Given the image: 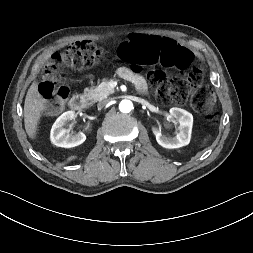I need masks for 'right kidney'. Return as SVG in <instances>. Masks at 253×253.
Segmentation results:
<instances>
[{"label": "right kidney", "mask_w": 253, "mask_h": 253, "mask_svg": "<svg viewBox=\"0 0 253 253\" xmlns=\"http://www.w3.org/2000/svg\"><path fill=\"white\" fill-rule=\"evenodd\" d=\"M75 118L76 114L74 111L64 112L57 118L50 132V139L54 145L63 148H72L82 144L86 140V135L83 132L72 135L68 129L64 128L68 122ZM89 128L90 126H87L86 129Z\"/></svg>", "instance_id": "obj_1"}]
</instances>
